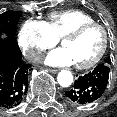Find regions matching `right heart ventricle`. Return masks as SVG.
Here are the masks:
<instances>
[{"label":"right heart ventricle","instance_id":"right-heart-ventricle-1","mask_svg":"<svg viewBox=\"0 0 117 117\" xmlns=\"http://www.w3.org/2000/svg\"><path fill=\"white\" fill-rule=\"evenodd\" d=\"M92 22H94V19L86 12L69 9L50 13L47 17L46 25L58 39L74 28Z\"/></svg>","mask_w":117,"mask_h":117}]
</instances>
